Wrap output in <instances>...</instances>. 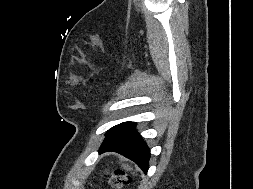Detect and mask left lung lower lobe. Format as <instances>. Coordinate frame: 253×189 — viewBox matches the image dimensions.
I'll return each instance as SVG.
<instances>
[{
  "label": "left lung lower lobe",
  "instance_id": "0a47b994",
  "mask_svg": "<svg viewBox=\"0 0 253 189\" xmlns=\"http://www.w3.org/2000/svg\"><path fill=\"white\" fill-rule=\"evenodd\" d=\"M135 123L127 122L106 133L99 153L114 151L134 161L145 173L148 171L150 150L144 141H140V134L134 129Z\"/></svg>",
  "mask_w": 253,
  "mask_h": 189
}]
</instances>
